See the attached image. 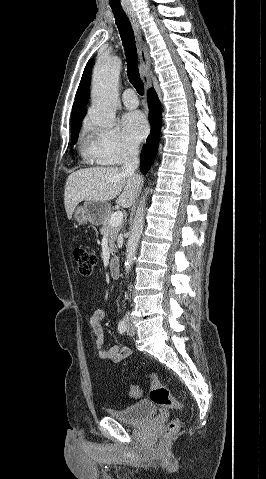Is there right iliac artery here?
<instances>
[{
	"instance_id": "1",
	"label": "right iliac artery",
	"mask_w": 266,
	"mask_h": 479,
	"mask_svg": "<svg viewBox=\"0 0 266 479\" xmlns=\"http://www.w3.org/2000/svg\"><path fill=\"white\" fill-rule=\"evenodd\" d=\"M126 329H127V318H123L118 324V332L120 334H124Z\"/></svg>"
}]
</instances>
